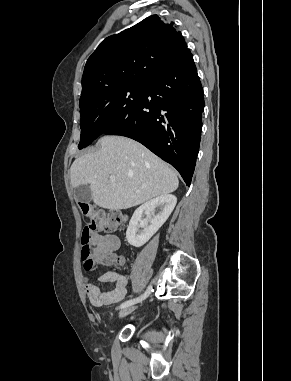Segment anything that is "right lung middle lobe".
Wrapping results in <instances>:
<instances>
[{
  "mask_svg": "<svg viewBox=\"0 0 291 381\" xmlns=\"http://www.w3.org/2000/svg\"><path fill=\"white\" fill-rule=\"evenodd\" d=\"M146 83H132L105 89L80 103L79 149L130 117L144 96Z\"/></svg>",
  "mask_w": 291,
  "mask_h": 381,
  "instance_id": "obj_1",
  "label": "right lung middle lobe"
}]
</instances>
